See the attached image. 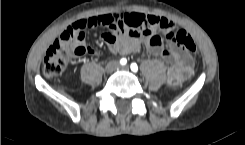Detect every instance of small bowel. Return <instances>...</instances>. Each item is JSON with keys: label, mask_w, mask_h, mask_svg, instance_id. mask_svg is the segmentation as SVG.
Masks as SVG:
<instances>
[{"label": "small bowel", "mask_w": 245, "mask_h": 145, "mask_svg": "<svg viewBox=\"0 0 245 145\" xmlns=\"http://www.w3.org/2000/svg\"><path fill=\"white\" fill-rule=\"evenodd\" d=\"M104 19L105 31L102 34V40L109 46L114 54L127 55L137 51L143 43L147 45L148 53L155 56H161L168 63L167 79L170 85H181L194 71L195 62L193 56L171 36L174 28L173 23L166 18L144 14L140 12L112 13L106 14ZM79 26L85 30L93 27L89 24V19L78 22ZM160 27L166 32L168 39V48L163 47L162 42L156 41L157 33L152 30L154 27ZM147 32V36H137V32ZM118 33L121 36H118ZM80 44L87 47V53L93 50L80 39Z\"/></svg>", "instance_id": "small-bowel-1"}]
</instances>
